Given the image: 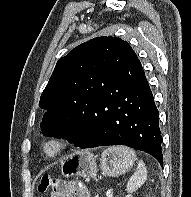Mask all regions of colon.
<instances>
[{
	"instance_id": "obj_1",
	"label": "colon",
	"mask_w": 191,
	"mask_h": 197,
	"mask_svg": "<svg viewBox=\"0 0 191 197\" xmlns=\"http://www.w3.org/2000/svg\"><path fill=\"white\" fill-rule=\"evenodd\" d=\"M55 188V180L53 177L45 175L40 179L38 184V191L40 193H46Z\"/></svg>"
}]
</instances>
